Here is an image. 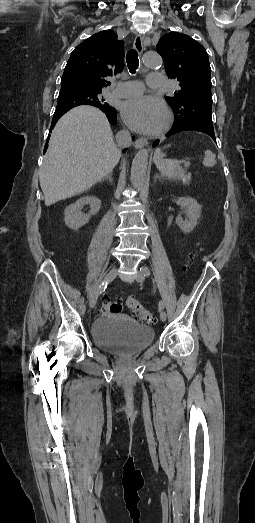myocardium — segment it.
Here are the masks:
<instances>
[{"label": "myocardium", "mask_w": 255, "mask_h": 523, "mask_svg": "<svg viewBox=\"0 0 255 523\" xmlns=\"http://www.w3.org/2000/svg\"><path fill=\"white\" fill-rule=\"evenodd\" d=\"M172 122H173V114H172V112L168 109V110L166 111V117H165V122H164V124H163L162 132H166V131L170 128Z\"/></svg>", "instance_id": "f54148a6"}]
</instances>
